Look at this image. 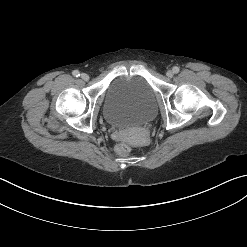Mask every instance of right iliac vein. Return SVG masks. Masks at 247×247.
Wrapping results in <instances>:
<instances>
[{"label": "right iliac vein", "instance_id": "obj_1", "mask_svg": "<svg viewBox=\"0 0 247 247\" xmlns=\"http://www.w3.org/2000/svg\"><path fill=\"white\" fill-rule=\"evenodd\" d=\"M81 78H82L84 81H88V80H89V76H88V74H86V73H82V74H81Z\"/></svg>", "mask_w": 247, "mask_h": 247}]
</instances>
